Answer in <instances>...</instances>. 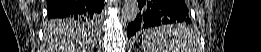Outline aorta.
Here are the masks:
<instances>
[{
  "mask_svg": "<svg viewBox=\"0 0 261 52\" xmlns=\"http://www.w3.org/2000/svg\"><path fill=\"white\" fill-rule=\"evenodd\" d=\"M140 9L137 0H125L122 8L121 18L126 22H134Z\"/></svg>",
  "mask_w": 261,
  "mask_h": 52,
  "instance_id": "obj_1",
  "label": "aorta"
}]
</instances>
